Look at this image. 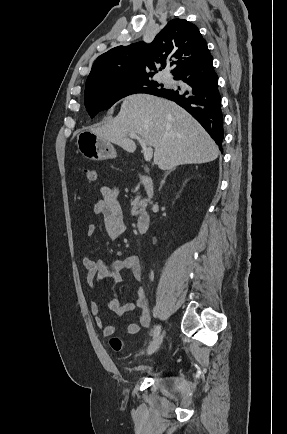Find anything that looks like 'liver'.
I'll return each mask as SVG.
<instances>
[{"label": "liver", "instance_id": "liver-1", "mask_svg": "<svg viewBox=\"0 0 287 434\" xmlns=\"http://www.w3.org/2000/svg\"><path fill=\"white\" fill-rule=\"evenodd\" d=\"M90 130L127 152L136 150L127 135L137 134L154 148V163L161 170L211 162L219 155L216 143L189 113L153 95L127 97L114 119Z\"/></svg>", "mask_w": 287, "mask_h": 434}]
</instances>
